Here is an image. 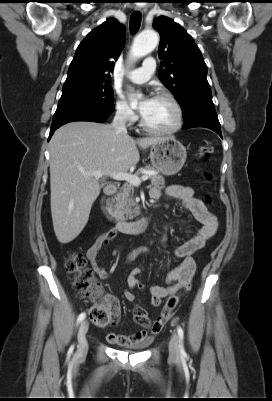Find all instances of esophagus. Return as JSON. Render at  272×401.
I'll return each instance as SVG.
<instances>
[{"label": "esophagus", "mask_w": 272, "mask_h": 401, "mask_svg": "<svg viewBox=\"0 0 272 401\" xmlns=\"http://www.w3.org/2000/svg\"><path fill=\"white\" fill-rule=\"evenodd\" d=\"M136 10L141 12V13H145L147 9L145 7H142V6H137Z\"/></svg>", "instance_id": "esophagus-1"}]
</instances>
